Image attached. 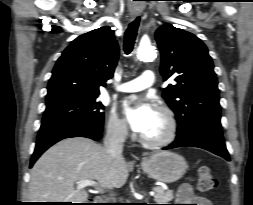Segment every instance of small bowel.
Segmentation results:
<instances>
[{
    "instance_id": "1",
    "label": "small bowel",
    "mask_w": 253,
    "mask_h": 205,
    "mask_svg": "<svg viewBox=\"0 0 253 205\" xmlns=\"http://www.w3.org/2000/svg\"><path fill=\"white\" fill-rule=\"evenodd\" d=\"M178 201L183 203H194V204H183V205H213V203L204 196L194 193L190 185L183 186L178 192Z\"/></svg>"
}]
</instances>
